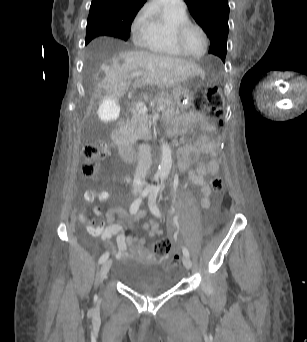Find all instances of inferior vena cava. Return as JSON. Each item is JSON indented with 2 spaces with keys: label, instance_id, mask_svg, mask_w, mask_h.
I'll list each match as a JSON object with an SVG mask.
<instances>
[{
  "label": "inferior vena cava",
  "instance_id": "inferior-vena-cava-1",
  "mask_svg": "<svg viewBox=\"0 0 307 342\" xmlns=\"http://www.w3.org/2000/svg\"><path fill=\"white\" fill-rule=\"evenodd\" d=\"M152 164L150 148H139L138 152V162L134 174L133 180V190L134 192H139L145 186L146 176L148 170H150Z\"/></svg>",
  "mask_w": 307,
  "mask_h": 342
}]
</instances>
